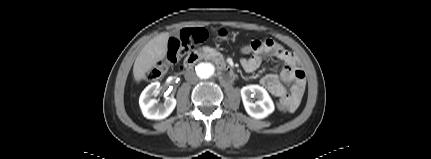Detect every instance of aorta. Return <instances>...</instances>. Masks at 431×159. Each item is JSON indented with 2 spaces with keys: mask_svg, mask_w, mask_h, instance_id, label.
<instances>
[{
  "mask_svg": "<svg viewBox=\"0 0 431 159\" xmlns=\"http://www.w3.org/2000/svg\"><path fill=\"white\" fill-rule=\"evenodd\" d=\"M195 71L200 79L207 80L214 75L215 68L209 62H201L196 65Z\"/></svg>",
  "mask_w": 431,
  "mask_h": 159,
  "instance_id": "obj_1",
  "label": "aorta"
}]
</instances>
